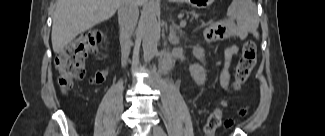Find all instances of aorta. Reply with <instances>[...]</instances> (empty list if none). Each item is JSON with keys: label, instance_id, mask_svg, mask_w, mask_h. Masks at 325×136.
Wrapping results in <instances>:
<instances>
[{"label": "aorta", "instance_id": "aorta-1", "mask_svg": "<svg viewBox=\"0 0 325 136\" xmlns=\"http://www.w3.org/2000/svg\"><path fill=\"white\" fill-rule=\"evenodd\" d=\"M141 38L143 47V59L150 62L157 52L159 38V24L157 19V5L154 0L148 1L141 17Z\"/></svg>", "mask_w": 325, "mask_h": 136}]
</instances>
